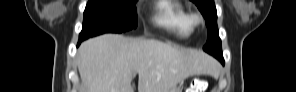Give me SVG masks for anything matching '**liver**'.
I'll return each instance as SVG.
<instances>
[{
    "label": "liver",
    "instance_id": "liver-1",
    "mask_svg": "<svg viewBox=\"0 0 296 92\" xmlns=\"http://www.w3.org/2000/svg\"><path fill=\"white\" fill-rule=\"evenodd\" d=\"M77 65L82 92H168L193 75H212L215 62L200 50L156 39L105 34L81 44Z\"/></svg>",
    "mask_w": 296,
    "mask_h": 92
}]
</instances>
